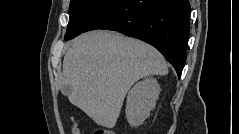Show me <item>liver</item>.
<instances>
[{"instance_id":"obj_1","label":"liver","mask_w":239,"mask_h":134,"mask_svg":"<svg viewBox=\"0 0 239 134\" xmlns=\"http://www.w3.org/2000/svg\"><path fill=\"white\" fill-rule=\"evenodd\" d=\"M164 57L142 41L96 30L74 40L63 60L61 82L70 102L96 124L113 128L131 86L150 75H167Z\"/></svg>"}]
</instances>
